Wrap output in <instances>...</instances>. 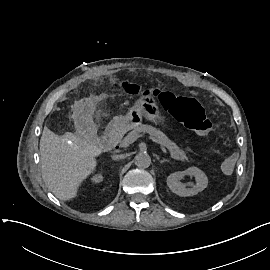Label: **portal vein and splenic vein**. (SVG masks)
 I'll list each match as a JSON object with an SVG mask.
<instances>
[{
    "label": "portal vein and splenic vein",
    "instance_id": "obj_1",
    "mask_svg": "<svg viewBox=\"0 0 270 270\" xmlns=\"http://www.w3.org/2000/svg\"><path fill=\"white\" fill-rule=\"evenodd\" d=\"M145 136V135H144ZM144 136L142 135V134H139L138 136L137 135H134V136H132V135H129V136H127V138H126V141H127V143H129V144H132V143H134V142H137L138 140L139 141H142L143 139H144ZM147 136V135H146ZM157 143H158V145L160 144L161 145V143L160 142H158V141H156ZM159 145V146H160ZM162 149H163V147L162 146H160ZM163 152H164V154H168V151L166 150V149H163Z\"/></svg>",
    "mask_w": 270,
    "mask_h": 270
}]
</instances>
